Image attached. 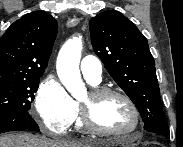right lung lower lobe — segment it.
<instances>
[{
    "label": "right lung lower lobe",
    "instance_id": "1",
    "mask_svg": "<svg viewBox=\"0 0 183 147\" xmlns=\"http://www.w3.org/2000/svg\"><path fill=\"white\" fill-rule=\"evenodd\" d=\"M22 130L39 131L38 125L28 111H13L0 114V133Z\"/></svg>",
    "mask_w": 183,
    "mask_h": 147
}]
</instances>
